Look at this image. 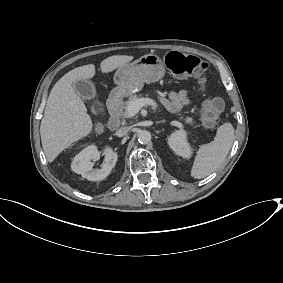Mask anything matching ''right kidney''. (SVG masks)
I'll return each mask as SVG.
<instances>
[{
	"label": "right kidney",
	"instance_id": "ca27d5eb",
	"mask_svg": "<svg viewBox=\"0 0 283 283\" xmlns=\"http://www.w3.org/2000/svg\"><path fill=\"white\" fill-rule=\"evenodd\" d=\"M104 154L105 158L101 169H93L94 163L91 160H99L100 152L95 145H90L74 157L71 163V169L89 181L103 180L110 174L118 159L117 153L110 147L104 149Z\"/></svg>",
	"mask_w": 283,
	"mask_h": 283
}]
</instances>
